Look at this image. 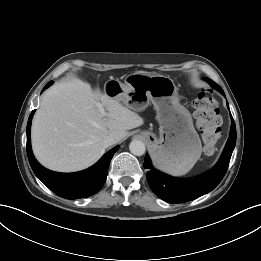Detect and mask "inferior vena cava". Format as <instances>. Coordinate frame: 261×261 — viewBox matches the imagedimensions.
Returning a JSON list of instances; mask_svg holds the SVG:
<instances>
[{"mask_svg":"<svg viewBox=\"0 0 261 261\" xmlns=\"http://www.w3.org/2000/svg\"><path fill=\"white\" fill-rule=\"evenodd\" d=\"M115 142L116 141H115V138L113 136H106L103 139V145H104L105 148L115 144Z\"/></svg>","mask_w":261,"mask_h":261,"instance_id":"602c4592","label":"inferior vena cava"}]
</instances>
